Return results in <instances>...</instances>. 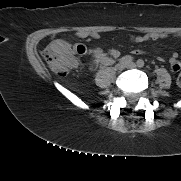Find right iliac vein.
Returning <instances> with one entry per match:
<instances>
[{"label":"right iliac vein","mask_w":181,"mask_h":181,"mask_svg":"<svg viewBox=\"0 0 181 181\" xmlns=\"http://www.w3.org/2000/svg\"><path fill=\"white\" fill-rule=\"evenodd\" d=\"M125 68H126V64L123 63V62H119V63L116 64V66H115V70H117V71H122V70L125 69Z\"/></svg>","instance_id":"1"}]
</instances>
